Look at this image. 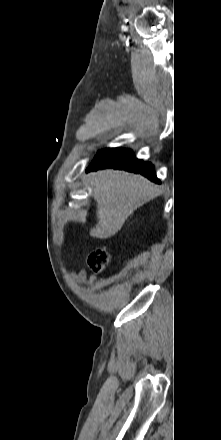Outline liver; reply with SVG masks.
Wrapping results in <instances>:
<instances>
[{
  "mask_svg": "<svg viewBox=\"0 0 221 440\" xmlns=\"http://www.w3.org/2000/svg\"><path fill=\"white\" fill-rule=\"evenodd\" d=\"M91 185L98 223L90 235L99 238L115 235L138 207L159 192L157 185L140 175L111 169L93 173Z\"/></svg>",
  "mask_w": 221,
  "mask_h": 440,
  "instance_id": "1",
  "label": "liver"
}]
</instances>
